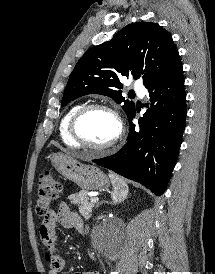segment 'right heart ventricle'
Instances as JSON below:
<instances>
[{
  "label": "right heart ventricle",
  "instance_id": "e07e8e85",
  "mask_svg": "<svg viewBox=\"0 0 215 274\" xmlns=\"http://www.w3.org/2000/svg\"><path fill=\"white\" fill-rule=\"evenodd\" d=\"M82 106V104L73 105L68 109V111L62 117L60 124H59V135L62 142L68 146L73 148H78L80 145L74 141V139L70 135L69 125L70 121L75 114V112Z\"/></svg>",
  "mask_w": 215,
  "mask_h": 274
}]
</instances>
